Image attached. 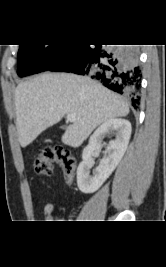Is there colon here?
<instances>
[{
  "instance_id": "colon-1",
  "label": "colon",
  "mask_w": 166,
  "mask_h": 267,
  "mask_svg": "<svg viewBox=\"0 0 166 267\" xmlns=\"http://www.w3.org/2000/svg\"><path fill=\"white\" fill-rule=\"evenodd\" d=\"M59 165L67 180H72L75 173V159L69 151L61 148H45L34 161L35 173L42 178L49 177L53 166Z\"/></svg>"
}]
</instances>
